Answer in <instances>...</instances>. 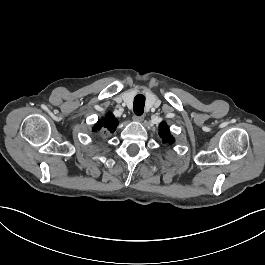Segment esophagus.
Segmentation results:
<instances>
[{"mask_svg": "<svg viewBox=\"0 0 265 265\" xmlns=\"http://www.w3.org/2000/svg\"><path fill=\"white\" fill-rule=\"evenodd\" d=\"M144 120L143 116H133V121L142 122Z\"/></svg>", "mask_w": 265, "mask_h": 265, "instance_id": "34e87169", "label": "esophagus"}]
</instances>
